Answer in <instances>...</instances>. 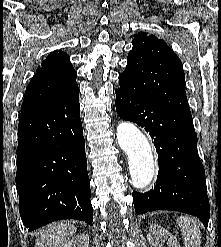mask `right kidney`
I'll list each match as a JSON object with an SVG mask.
<instances>
[{"instance_id":"1","label":"right kidney","mask_w":221,"mask_h":247,"mask_svg":"<svg viewBox=\"0 0 221 247\" xmlns=\"http://www.w3.org/2000/svg\"><path fill=\"white\" fill-rule=\"evenodd\" d=\"M89 237L87 234H78L68 241L63 247H88Z\"/></svg>"}]
</instances>
